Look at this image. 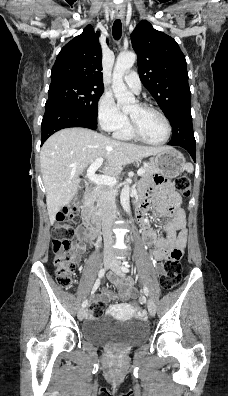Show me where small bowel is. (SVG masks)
Masks as SVG:
<instances>
[{"instance_id": "c3829d8e", "label": "small bowel", "mask_w": 228, "mask_h": 396, "mask_svg": "<svg viewBox=\"0 0 228 396\" xmlns=\"http://www.w3.org/2000/svg\"><path fill=\"white\" fill-rule=\"evenodd\" d=\"M150 190L156 195L159 209L167 211L168 208H170L172 220L168 225V231L172 235L171 242L176 247L183 249L186 244L187 233L185 230V213L182 208L179 194L176 193L170 184H168L162 177H155L152 180ZM148 206L149 198L146 197L140 202L139 209L140 218L144 222L146 220ZM95 239L96 235L87 229L79 232V239L72 246L74 261L76 263L80 260V254L85 251L87 246L91 245ZM144 240L146 242L154 240L155 249L152 253L153 259L156 263L161 261L166 253L165 241L163 239L156 238L151 229H146L144 231ZM109 280L119 288V293L117 296H114L109 289H102L101 293L97 297L101 304H107L114 298L124 302L137 296V292L133 288V284L130 279L123 281L114 275H109ZM140 303H143V301L141 300Z\"/></svg>"}]
</instances>
